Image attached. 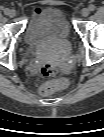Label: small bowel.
I'll return each mask as SVG.
<instances>
[{
  "instance_id": "obj_1",
  "label": "small bowel",
  "mask_w": 104,
  "mask_h": 137,
  "mask_svg": "<svg viewBox=\"0 0 104 137\" xmlns=\"http://www.w3.org/2000/svg\"><path fill=\"white\" fill-rule=\"evenodd\" d=\"M42 12V9L40 8H35L34 11H33V18H32V22H33V25L34 27H40L43 25V21L38 18L39 14Z\"/></svg>"
}]
</instances>
